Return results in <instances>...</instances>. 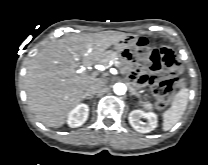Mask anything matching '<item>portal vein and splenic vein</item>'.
Segmentation results:
<instances>
[{
    "label": "portal vein and splenic vein",
    "mask_w": 208,
    "mask_h": 165,
    "mask_svg": "<svg viewBox=\"0 0 208 165\" xmlns=\"http://www.w3.org/2000/svg\"><path fill=\"white\" fill-rule=\"evenodd\" d=\"M115 66H116V67H120L119 63H115ZM79 71H80L79 73H82V72L84 71V68L81 67V69H80Z\"/></svg>",
    "instance_id": "18ae733b"
}]
</instances>
